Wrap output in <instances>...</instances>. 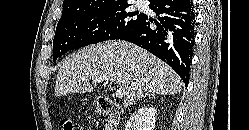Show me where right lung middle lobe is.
Returning a JSON list of instances; mask_svg holds the SVG:
<instances>
[{"label": "right lung middle lobe", "mask_w": 249, "mask_h": 130, "mask_svg": "<svg viewBox=\"0 0 249 130\" xmlns=\"http://www.w3.org/2000/svg\"><path fill=\"white\" fill-rule=\"evenodd\" d=\"M129 6L127 0L109 1L63 12L54 36L53 61L69 50L119 39L144 15L128 11Z\"/></svg>", "instance_id": "dd1d6c3e"}]
</instances>
